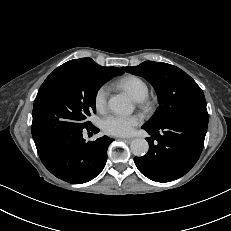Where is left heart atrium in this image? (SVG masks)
I'll list each match as a JSON object with an SVG mask.
<instances>
[{"label":"left heart atrium","instance_id":"obj_1","mask_svg":"<svg viewBox=\"0 0 231 231\" xmlns=\"http://www.w3.org/2000/svg\"><path fill=\"white\" fill-rule=\"evenodd\" d=\"M140 123L141 118L139 116L111 114L103 119L102 128L108 134L126 136L131 134Z\"/></svg>","mask_w":231,"mask_h":231}]
</instances>
